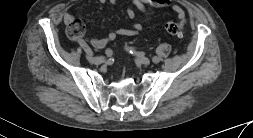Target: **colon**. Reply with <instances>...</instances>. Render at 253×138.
Here are the masks:
<instances>
[{"label":"colon","instance_id":"5ec220e1","mask_svg":"<svg viewBox=\"0 0 253 138\" xmlns=\"http://www.w3.org/2000/svg\"><path fill=\"white\" fill-rule=\"evenodd\" d=\"M165 30L168 34L181 38L184 34L183 25L175 22H167L165 24ZM85 32V27L82 21L75 19L67 27V33L72 39H80Z\"/></svg>","mask_w":253,"mask_h":138}]
</instances>
